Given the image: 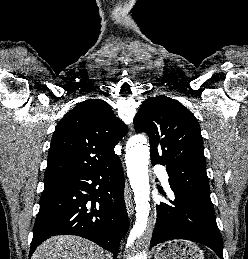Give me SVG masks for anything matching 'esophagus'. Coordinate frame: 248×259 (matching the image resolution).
I'll return each mask as SVG.
<instances>
[{
	"mask_svg": "<svg viewBox=\"0 0 248 259\" xmlns=\"http://www.w3.org/2000/svg\"><path fill=\"white\" fill-rule=\"evenodd\" d=\"M124 199H125L127 213L129 215V217H132V215L134 213V207H133V202H132L131 190H130V187L127 182L125 184Z\"/></svg>",
	"mask_w": 248,
	"mask_h": 259,
	"instance_id": "obj_1",
	"label": "esophagus"
}]
</instances>
